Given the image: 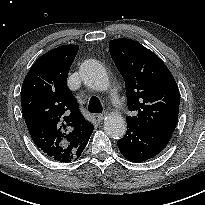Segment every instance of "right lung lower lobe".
Segmentation results:
<instances>
[{
    "instance_id": "98d812e1",
    "label": "right lung lower lobe",
    "mask_w": 205,
    "mask_h": 205,
    "mask_svg": "<svg viewBox=\"0 0 205 205\" xmlns=\"http://www.w3.org/2000/svg\"><path fill=\"white\" fill-rule=\"evenodd\" d=\"M89 138H90V137H89ZM89 138H88L87 140H85V141L78 147V149L76 150L75 159H77V158L80 157V155H81V153L83 152V150H84V148H85V146H86V144H87Z\"/></svg>"
}]
</instances>
